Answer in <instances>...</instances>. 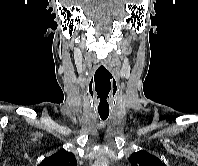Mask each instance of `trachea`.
<instances>
[{
	"mask_svg": "<svg viewBox=\"0 0 198 166\" xmlns=\"http://www.w3.org/2000/svg\"><path fill=\"white\" fill-rule=\"evenodd\" d=\"M99 115L102 120H106L109 116V113H99Z\"/></svg>",
	"mask_w": 198,
	"mask_h": 166,
	"instance_id": "1",
	"label": "trachea"
}]
</instances>
